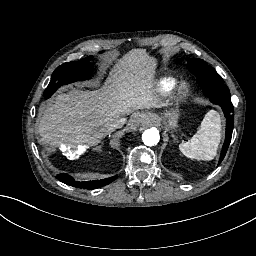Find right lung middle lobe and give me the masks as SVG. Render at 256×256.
<instances>
[{"label":"right lung middle lobe","instance_id":"obj_1","mask_svg":"<svg viewBox=\"0 0 256 256\" xmlns=\"http://www.w3.org/2000/svg\"><path fill=\"white\" fill-rule=\"evenodd\" d=\"M92 56H88L79 61L66 62L56 68L51 77L44 97L48 99L60 85L68 84L77 80H83L90 76L91 67L89 61Z\"/></svg>","mask_w":256,"mask_h":256}]
</instances>
